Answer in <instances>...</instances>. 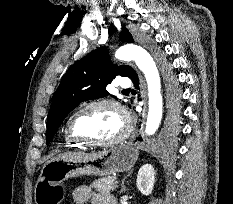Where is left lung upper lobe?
I'll return each mask as SVG.
<instances>
[{
  "label": "left lung upper lobe",
  "mask_w": 233,
  "mask_h": 204,
  "mask_svg": "<svg viewBox=\"0 0 233 204\" xmlns=\"http://www.w3.org/2000/svg\"><path fill=\"white\" fill-rule=\"evenodd\" d=\"M119 38L122 42H133L131 33L122 28ZM163 61V60H162ZM164 70L167 66L163 63ZM136 74L128 65H114L108 56L107 48L100 47L75 62L63 76L52 97L48 113L46 144H49L65 117L83 101L109 95L106 86L117 76L132 77ZM173 78L168 76L169 116L175 122L179 114L178 93L173 87Z\"/></svg>",
  "instance_id": "obj_1"
}]
</instances>
